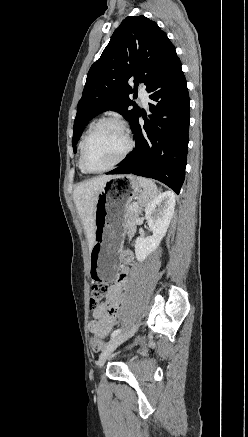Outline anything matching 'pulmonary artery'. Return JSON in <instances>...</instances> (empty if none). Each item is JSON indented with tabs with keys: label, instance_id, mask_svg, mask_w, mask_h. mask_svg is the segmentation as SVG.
Returning <instances> with one entry per match:
<instances>
[{
	"label": "pulmonary artery",
	"instance_id": "pulmonary-artery-1",
	"mask_svg": "<svg viewBox=\"0 0 248 437\" xmlns=\"http://www.w3.org/2000/svg\"><path fill=\"white\" fill-rule=\"evenodd\" d=\"M139 97H140V99L142 100V102H143V104L145 105V106H147L148 105V102H149V94L147 93V91L145 90V89H143V88H141L140 90H139Z\"/></svg>",
	"mask_w": 248,
	"mask_h": 437
}]
</instances>
